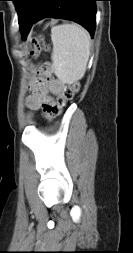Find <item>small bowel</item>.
Instances as JSON below:
<instances>
[{
    "label": "small bowel",
    "instance_id": "small-bowel-1",
    "mask_svg": "<svg viewBox=\"0 0 133 253\" xmlns=\"http://www.w3.org/2000/svg\"><path fill=\"white\" fill-rule=\"evenodd\" d=\"M52 69L50 60H45L43 66L35 69V76L29 84L30 94L26 97L25 104L30 112L42 111L43 115L51 120L56 114L53 108L56 106V98L63 94L66 85L60 80L51 77Z\"/></svg>",
    "mask_w": 133,
    "mask_h": 253
}]
</instances>
